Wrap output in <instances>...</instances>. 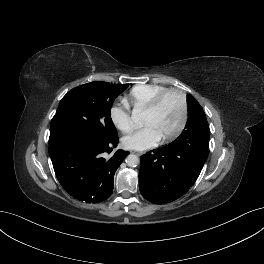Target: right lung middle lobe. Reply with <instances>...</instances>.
Returning <instances> with one entry per match:
<instances>
[{
  "mask_svg": "<svg viewBox=\"0 0 264 264\" xmlns=\"http://www.w3.org/2000/svg\"><path fill=\"white\" fill-rule=\"evenodd\" d=\"M127 84L90 82L69 91L51 121L48 144L66 137L110 140L117 137L110 110Z\"/></svg>",
  "mask_w": 264,
  "mask_h": 264,
  "instance_id": "1",
  "label": "right lung middle lobe"
}]
</instances>
